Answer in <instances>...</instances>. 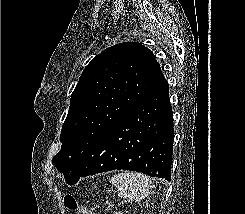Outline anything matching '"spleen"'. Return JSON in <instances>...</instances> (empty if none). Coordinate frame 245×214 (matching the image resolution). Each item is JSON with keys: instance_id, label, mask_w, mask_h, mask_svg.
Here are the masks:
<instances>
[{"instance_id": "1", "label": "spleen", "mask_w": 245, "mask_h": 214, "mask_svg": "<svg viewBox=\"0 0 245 214\" xmlns=\"http://www.w3.org/2000/svg\"><path fill=\"white\" fill-rule=\"evenodd\" d=\"M110 183L116 186L119 196L129 201L139 202L145 199L152 189V181L142 173L122 172L115 174Z\"/></svg>"}]
</instances>
